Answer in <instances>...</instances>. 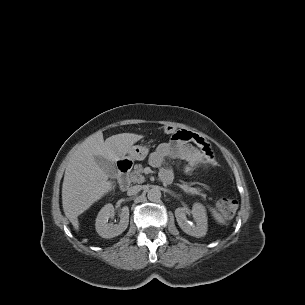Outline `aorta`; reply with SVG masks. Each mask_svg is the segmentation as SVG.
<instances>
[{"label": "aorta", "mask_w": 305, "mask_h": 305, "mask_svg": "<svg viewBox=\"0 0 305 305\" xmlns=\"http://www.w3.org/2000/svg\"><path fill=\"white\" fill-rule=\"evenodd\" d=\"M147 197L150 201H158L161 198V191L157 187L148 190Z\"/></svg>", "instance_id": "obj_1"}]
</instances>
